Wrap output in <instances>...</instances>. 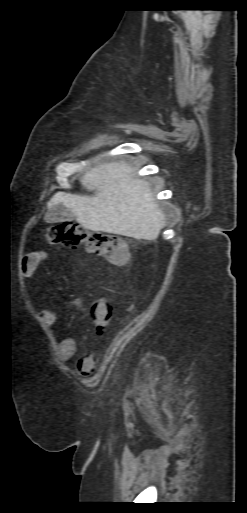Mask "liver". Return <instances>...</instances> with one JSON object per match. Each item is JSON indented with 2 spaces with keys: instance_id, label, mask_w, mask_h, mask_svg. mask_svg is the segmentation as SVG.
Segmentation results:
<instances>
[{
  "instance_id": "6515ba94",
  "label": "liver",
  "mask_w": 247,
  "mask_h": 513,
  "mask_svg": "<svg viewBox=\"0 0 247 513\" xmlns=\"http://www.w3.org/2000/svg\"><path fill=\"white\" fill-rule=\"evenodd\" d=\"M80 182L93 194L57 192L47 203L48 213L62 204L86 229L135 239L153 240L165 226L150 184L138 178L136 170L125 161L92 167Z\"/></svg>"
}]
</instances>
